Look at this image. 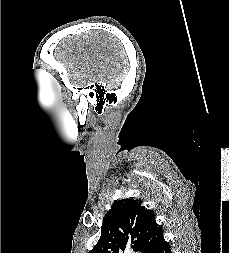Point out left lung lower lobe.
Wrapping results in <instances>:
<instances>
[{"instance_id":"left-lung-lower-lobe-1","label":"left lung lower lobe","mask_w":229,"mask_h":253,"mask_svg":"<svg viewBox=\"0 0 229 253\" xmlns=\"http://www.w3.org/2000/svg\"><path fill=\"white\" fill-rule=\"evenodd\" d=\"M153 253H171L170 245L163 238L158 243Z\"/></svg>"}]
</instances>
